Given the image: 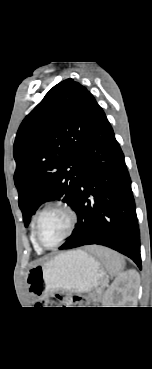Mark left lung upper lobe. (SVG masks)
<instances>
[{
	"mask_svg": "<svg viewBox=\"0 0 152 369\" xmlns=\"http://www.w3.org/2000/svg\"><path fill=\"white\" fill-rule=\"evenodd\" d=\"M100 108L85 87L66 79L21 123L13 151L14 182L26 227L43 202L63 197L75 210L81 158Z\"/></svg>",
	"mask_w": 152,
	"mask_h": 369,
	"instance_id": "obj_1",
	"label": "left lung upper lobe"
}]
</instances>
